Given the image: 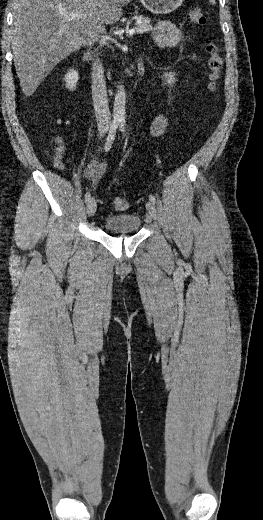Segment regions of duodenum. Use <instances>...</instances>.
<instances>
[{
    "label": "duodenum",
    "instance_id": "410a0bca",
    "mask_svg": "<svg viewBox=\"0 0 263 520\" xmlns=\"http://www.w3.org/2000/svg\"><path fill=\"white\" fill-rule=\"evenodd\" d=\"M91 59H92V52L89 50L84 54L83 60L86 65H90ZM136 70H137V75L139 77H141L144 73V66H143V62L141 59H137V61H136Z\"/></svg>",
    "mask_w": 263,
    "mask_h": 520
}]
</instances>
